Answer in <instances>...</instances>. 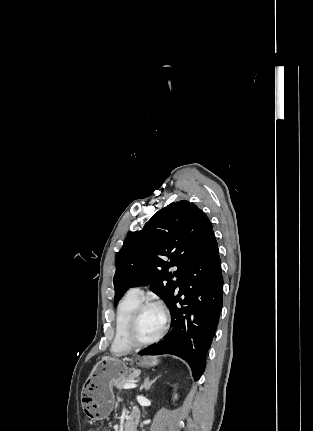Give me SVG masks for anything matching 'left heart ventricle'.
I'll list each match as a JSON object with an SVG mask.
<instances>
[{
	"label": "left heart ventricle",
	"mask_w": 313,
	"mask_h": 431,
	"mask_svg": "<svg viewBox=\"0 0 313 431\" xmlns=\"http://www.w3.org/2000/svg\"><path fill=\"white\" fill-rule=\"evenodd\" d=\"M163 324V314L156 307L145 309L139 319L136 335L139 340H149L153 338L161 329Z\"/></svg>",
	"instance_id": "1"
}]
</instances>
